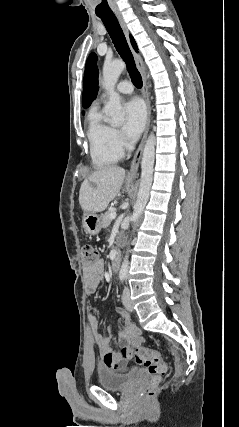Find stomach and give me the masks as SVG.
Wrapping results in <instances>:
<instances>
[{
	"label": "stomach",
	"instance_id": "stomach-1",
	"mask_svg": "<svg viewBox=\"0 0 239 427\" xmlns=\"http://www.w3.org/2000/svg\"><path fill=\"white\" fill-rule=\"evenodd\" d=\"M82 223L85 232L90 235L98 234L103 227L101 217L94 212H85Z\"/></svg>",
	"mask_w": 239,
	"mask_h": 427
}]
</instances>
